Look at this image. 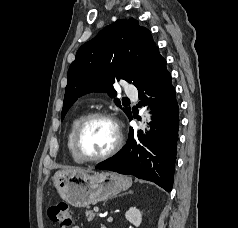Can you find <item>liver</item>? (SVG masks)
<instances>
[{
    "instance_id": "liver-1",
    "label": "liver",
    "mask_w": 238,
    "mask_h": 228,
    "mask_svg": "<svg viewBox=\"0 0 238 228\" xmlns=\"http://www.w3.org/2000/svg\"><path fill=\"white\" fill-rule=\"evenodd\" d=\"M66 171H69V172H86L84 169H81V168H69ZM90 171L91 170H88L87 172H90Z\"/></svg>"
}]
</instances>
